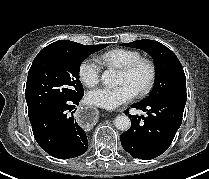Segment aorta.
<instances>
[{
  "instance_id": "obj_1",
  "label": "aorta",
  "mask_w": 209,
  "mask_h": 179,
  "mask_svg": "<svg viewBox=\"0 0 209 179\" xmlns=\"http://www.w3.org/2000/svg\"><path fill=\"white\" fill-rule=\"evenodd\" d=\"M101 80L106 86H114L118 83L117 74L114 70L103 72ZM115 127L121 131H127L131 127V120L126 115H118L114 120Z\"/></svg>"
}]
</instances>
